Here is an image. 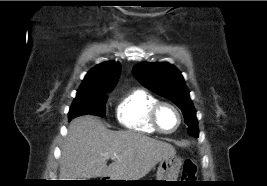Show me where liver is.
Returning <instances> with one entry per match:
<instances>
[{
    "label": "liver",
    "mask_w": 267,
    "mask_h": 186,
    "mask_svg": "<svg viewBox=\"0 0 267 186\" xmlns=\"http://www.w3.org/2000/svg\"><path fill=\"white\" fill-rule=\"evenodd\" d=\"M175 153V148L166 142L134 131H111L94 116H80L68 127L61 150L59 178L110 177L135 181ZM113 154L117 158L107 166L110 158L107 155Z\"/></svg>",
    "instance_id": "1"
}]
</instances>
